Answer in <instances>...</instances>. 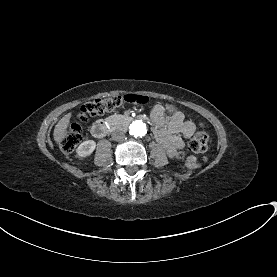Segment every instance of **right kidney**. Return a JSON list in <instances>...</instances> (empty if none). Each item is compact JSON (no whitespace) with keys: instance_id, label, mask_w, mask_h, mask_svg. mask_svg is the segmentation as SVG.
<instances>
[{"instance_id":"right-kidney-1","label":"right kidney","mask_w":277,"mask_h":277,"mask_svg":"<svg viewBox=\"0 0 277 277\" xmlns=\"http://www.w3.org/2000/svg\"><path fill=\"white\" fill-rule=\"evenodd\" d=\"M95 148H96L95 141L93 140L84 141L76 149L77 156L80 158L89 156L92 154Z\"/></svg>"}]
</instances>
